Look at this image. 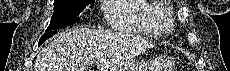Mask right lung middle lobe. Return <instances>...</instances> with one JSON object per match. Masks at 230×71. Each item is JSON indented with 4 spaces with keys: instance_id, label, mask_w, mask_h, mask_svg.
Here are the masks:
<instances>
[{
    "instance_id": "obj_1",
    "label": "right lung middle lobe",
    "mask_w": 230,
    "mask_h": 71,
    "mask_svg": "<svg viewBox=\"0 0 230 71\" xmlns=\"http://www.w3.org/2000/svg\"><path fill=\"white\" fill-rule=\"evenodd\" d=\"M95 0H55L54 13L46 31L71 25L79 20L80 13Z\"/></svg>"
}]
</instances>
